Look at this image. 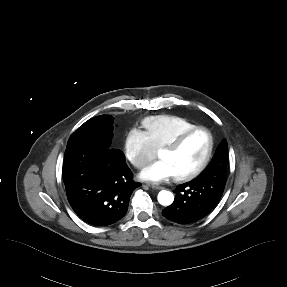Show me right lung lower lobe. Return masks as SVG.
Returning a JSON list of instances; mask_svg holds the SVG:
<instances>
[{
  "mask_svg": "<svg viewBox=\"0 0 287 287\" xmlns=\"http://www.w3.org/2000/svg\"><path fill=\"white\" fill-rule=\"evenodd\" d=\"M62 178L72 209L92 226L123 218L131 194L141 185L133 181L123 152L97 140L67 145Z\"/></svg>",
  "mask_w": 287,
  "mask_h": 287,
  "instance_id": "1",
  "label": "right lung lower lobe"
}]
</instances>
